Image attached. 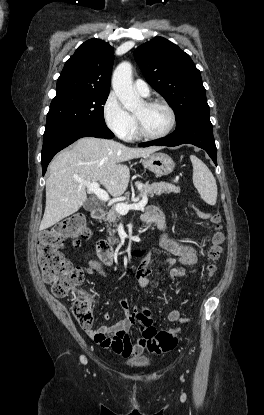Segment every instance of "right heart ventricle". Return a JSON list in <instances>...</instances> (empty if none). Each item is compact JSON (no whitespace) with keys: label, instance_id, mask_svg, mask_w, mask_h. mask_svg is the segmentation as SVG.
Returning a JSON list of instances; mask_svg holds the SVG:
<instances>
[{"label":"right heart ventricle","instance_id":"e07e8e85","mask_svg":"<svg viewBox=\"0 0 264 415\" xmlns=\"http://www.w3.org/2000/svg\"><path fill=\"white\" fill-rule=\"evenodd\" d=\"M137 136H136V133H135V131H134V129H133V131H132V133H131V135L127 138L128 140H133V139H135Z\"/></svg>","mask_w":264,"mask_h":415}]
</instances>
